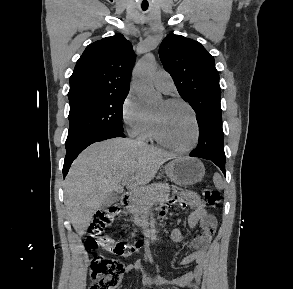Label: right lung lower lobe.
Listing matches in <instances>:
<instances>
[{"instance_id": "obj_1", "label": "right lung lower lobe", "mask_w": 293, "mask_h": 289, "mask_svg": "<svg viewBox=\"0 0 293 289\" xmlns=\"http://www.w3.org/2000/svg\"><path fill=\"white\" fill-rule=\"evenodd\" d=\"M115 137H125L123 131L116 129H108L98 131L92 134H89L85 137H82L78 140L73 141L72 143L65 145L66 147V157L64 160L63 166V176L65 177L69 171V168L73 162V160L77 157L79 153H81L86 147L89 145L99 142L102 140H106L109 138Z\"/></svg>"}]
</instances>
